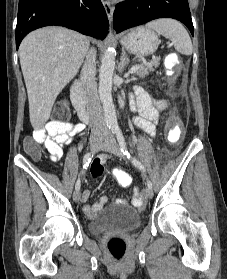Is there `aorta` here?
Listing matches in <instances>:
<instances>
[{"label": "aorta", "instance_id": "aorta-1", "mask_svg": "<svg viewBox=\"0 0 227 279\" xmlns=\"http://www.w3.org/2000/svg\"><path fill=\"white\" fill-rule=\"evenodd\" d=\"M111 38V33L107 37ZM115 69V55L110 47L106 49L101 59L99 71V96L103 106L104 119L111 129L118 127L115 106L112 99V83Z\"/></svg>", "mask_w": 227, "mask_h": 279}]
</instances>
